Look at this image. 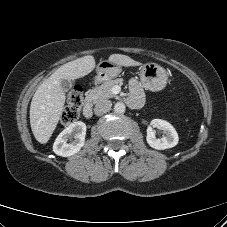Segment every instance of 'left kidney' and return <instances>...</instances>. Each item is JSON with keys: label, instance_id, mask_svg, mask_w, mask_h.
<instances>
[{"label": "left kidney", "instance_id": "left-kidney-1", "mask_svg": "<svg viewBox=\"0 0 227 227\" xmlns=\"http://www.w3.org/2000/svg\"><path fill=\"white\" fill-rule=\"evenodd\" d=\"M151 125L161 129L164 133L162 137L157 138L155 136V130H153L151 126L148 127L146 140L152 148L164 150L172 148L178 144V134L175 128L169 122L161 119H154L152 120Z\"/></svg>", "mask_w": 227, "mask_h": 227}]
</instances>
